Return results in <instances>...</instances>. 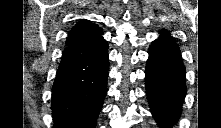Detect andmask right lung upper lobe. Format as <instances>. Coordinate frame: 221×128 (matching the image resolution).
Returning a JSON list of instances; mask_svg holds the SVG:
<instances>
[{
  "mask_svg": "<svg viewBox=\"0 0 221 128\" xmlns=\"http://www.w3.org/2000/svg\"><path fill=\"white\" fill-rule=\"evenodd\" d=\"M103 34L102 29L88 20L78 22L69 32L66 46L94 41Z\"/></svg>",
  "mask_w": 221,
  "mask_h": 128,
  "instance_id": "right-lung-upper-lobe-1",
  "label": "right lung upper lobe"
}]
</instances>
